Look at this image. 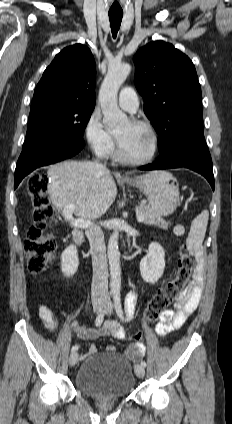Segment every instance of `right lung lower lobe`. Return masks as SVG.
I'll list each match as a JSON object with an SVG mask.
<instances>
[{
    "mask_svg": "<svg viewBox=\"0 0 232 424\" xmlns=\"http://www.w3.org/2000/svg\"><path fill=\"white\" fill-rule=\"evenodd\" d=\"M84 145L83 140L55 137H36L24 144L16 165L14 189L36 168L70 158L79 153Z\"/></svg>",
    "mask_w": 232,
    "mask_h": 424,
    "instance_id": "obj_1",
    "label": "right lung lower lobe"
}]
</instances>
